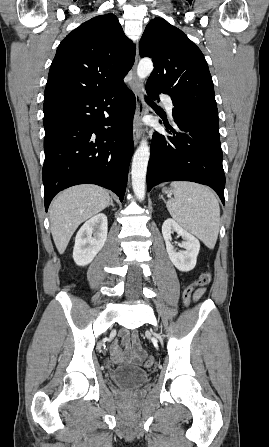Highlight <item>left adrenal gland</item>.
Returning <instances> with one entry per match:
<instances>
[{
    "mask_svg": "<svg viewBox=\"0 0 269 447\" xmlns=\"http://www.w3.org/2000/svg\"><path fill=\"white\" fill-rule=\"evenodd\" d=\"M159 198H161V200H163V202H165V200H164L163 196H159Z\"/></svg>",
    "mask_w": 269,
    "mask_h": 447,
    "instance_id": "a2214340",
    "label": "left adrenal gland"
}]
</instances>
